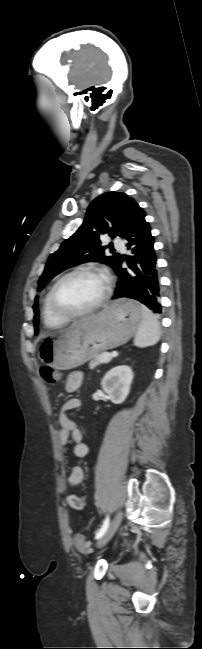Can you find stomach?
<instances>
[{
    "instance_id": "obj_1",
    "label": "stomach",
    "mask_w": 202,
    "mask_h": 649,
    "mask_svg": "<svg viewBox=\"0 0 202 649\" xmlns=\"http://www.w3.org/2000/svg\"><path fill=\"white\" fill-rule=\"evenodd\" d=\"M142 322L141 305L120 299L98 315L45 337L39 348L40 361L57 370L80 366L98 353L126 343Z\"/></svg>"
}]
</instances>
